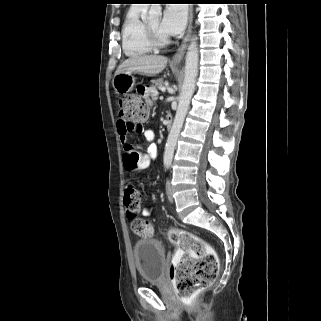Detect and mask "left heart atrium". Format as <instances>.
Segmentation results:
<instances>
[{
	"label": "left heart atrium",
	"mask_w": 321,
	"mask_h": 321,
	"mask_svg": "<svg viewBox=\"0 0 321 321\" xmlns=\"http://www.w3.org/2000/svg\"><path fill=\"white\" fill-rule=\"evenodd\" d=\"M187 10L182 4H168L160 22V30L168 35L179 34L185 27Z\"/></svg>",
	"instance_id": "obj_1"
}]
</instances>
